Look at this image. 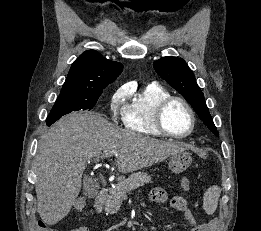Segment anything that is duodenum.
<instances>
[{
	"label": "duodenum",
	"instance_id": "1",
	"mask_svg": "<svg viewBox=\"0 0 261 231\" xmlns=\"http://www.w3.org/2000/svg\"><path fill=\"white\" fill-rule=\"evenodd\" d=\"M107 193V188H102L101 191L95 197V207L100 209Z\"/></svg>",
	"mask_w": 261,
	"mask_h": 231
}]
</instances>
